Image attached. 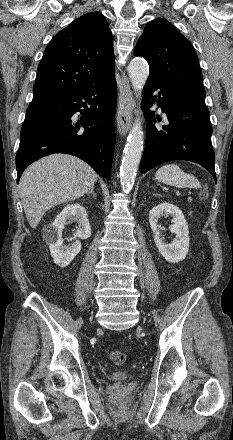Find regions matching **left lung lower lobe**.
<instances>
[{
  "label": "left lung lower lobe",
  "instance_id": "left-lung-lower-lobe-1",
  "mask_svg": "<svg viewBox=\"0 0 233 440\" xmlns=\"http://www.w3.org/2000/svg\"><path fill=\"white\" fill-rule=\"evenodd\" d=\"M158 89L159 99L154 96L155 100L150 101L153 92ZM143 95L142 109L147 126L140 172L145 173L167 161L187 160L202 165L216 181L215 155L211 144L212 126L205 105V94L165 87L148 79ZM151 102H157L166 113L169 125L161 128L155 126L154 112L149 110Z\"/></svg>",
  "mask_w": 233,
  "mask_h": 440
}]
</instances>
